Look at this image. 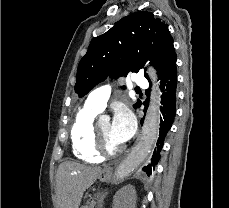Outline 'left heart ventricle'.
<instances>
[{
    "label": "left heart ventricle",
    "instance_id": "obj_1",
    "mask_svg": "<svg viewBox=\"0 0 229 208\" xmlns=\"http://www.w3.org/2000/svg\"><path fill=\"white\" fill-rule=\"evenodd\" d=\"M97 129L99 133L104 136L111 144L110 147H113V145L118 146L120 143L116 141L111 132V124L109 122L103 123L97 126Z\"/></svg>",
    "mask_w": 229,
    "mask_h": 208
}]
</instances>
